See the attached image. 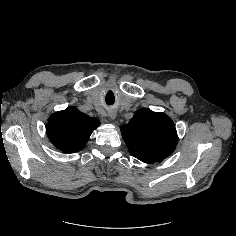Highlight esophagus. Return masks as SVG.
Wrapping results in <instances>:
<instances>
[{"instance_id":"1","label":"esophagus","mask_w":236,"mask_h":236,"mask_svg":"<svg viewBox=\"0 0 236 236\" xmlns=\"http://www.w3.org/2000/svg\"><path fill=\"white\" fill-rule=\"evenodd\" d=\"M109 117L113 120L116 118V112L112 111L111 113H109Z\"/></svg>"}]
</instances>
